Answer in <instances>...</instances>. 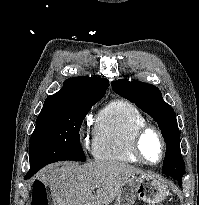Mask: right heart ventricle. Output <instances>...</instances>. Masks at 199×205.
<instances>
[{
    "mask_svg": "<svg viewBox=\"0 0 199 205\" xmlns=\"http://www.w3.org/2000/svg\"><path fill=\"white\" fill-rule=\"evenodd\" d=\"M147 125V119L133 104L125 100L108 103L98 114L94 135V157L99 161L138 164L131 151L134 132Z\"/></svg>",
    "mask_w": 199,
    "mask_h": 205,
    "instance_id": "right-heart-ventricle-1",
    "label": "right heart ventricle"
}]
</instances>
